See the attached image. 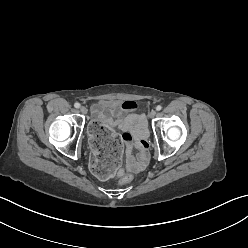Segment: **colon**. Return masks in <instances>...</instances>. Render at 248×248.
Wrapping results in <instances>:
<instances>
[{"instance_id": "obj_1", "label": "colon", "mask_w": 248, "mask_h": 248, "mask_svg": "<svg viewBox=\"0 0 248 248\" xmlns=\"http://www.w3.org/2000/svg\"><path fill=\"white\" fill-rule=\"evenodd\" d=\"M90 132L92 134L90 142L96 149L90 161V169L96 176L106 179L111 172L123 165L121 139L101 121L93 122L90 125ZM132 180L133 177L130 174H122L120 182L122 185H128Z\"/></svg>"}]
</instances>
